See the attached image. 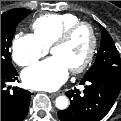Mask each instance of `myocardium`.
<instances>
[{
	"label": "myocardium",
	"mask_w": 121,
	"mask_h": 121,
	"mask_svg": "<svg viewBox=\"0 0 121 121\" xmlns=\"http://www.w3.org/2000/svg\"><path fill=\"white\" fill-rule=\"evenodd\" d=\"M81 28H86L88 30L90 34L91 42H90L87 55L84 58V60L77 66L70 69L72 73H80L84 71L88 67V65L91 63L95 55L98 38H97V34H96L94 26L91 23L86 22V21L77 22L69 26L68 28H66L51 45V50H52L56 46L65 44Z\"/></svg>",
	"instance_id": "1"
}]
</instances>
